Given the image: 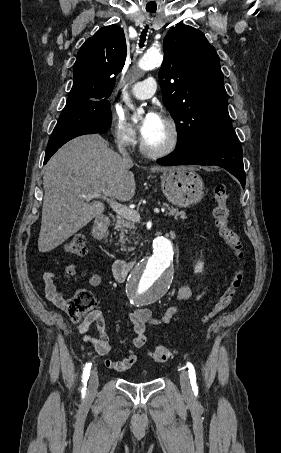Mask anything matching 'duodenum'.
Wrapping results in <instances>:
<instances>
[{
    "label": "duodenum",
    "instance_id": "obj_1",
    "mask_svg": "<svg viewBox=\"0 0 281 453\" xmlns=\"http://www.w3.org/2000/svg\"><path fill=\"white\" fill-rule=\"evenodd\" d=\"M109 224L110 222L106 218L98 219L93 228L94 236L97 239L105 238L108 233ZM134 264V261L116 260L112 266L114 278L119 282L125 281Z\"/></svg>",
    "mask_w": 281,
    "mask_h": 453
}]
</instances>
